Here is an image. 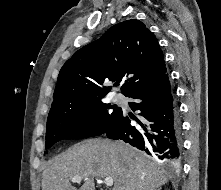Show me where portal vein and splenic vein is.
Returning <instances> with one entry per match:
<instances>
[{
    "label": "portal vein and splenic vein",
    "mask_w": 221,
    "mask_h": 190,
    "mask_svg": "<svg viewBox=\"0 0 221 190\" xmlns=\"http://www.w3.org/2000/svg\"><path fill=\"white\" fill-rule=\"evenodd\" d=\"M82 179L83 178L80 177V176H75V177H72L70 180L72 182H81ZM104 183H105L106 186H112L113 185V179L110 178V177H107V178L104 179Z\"/></svg>",
    "instance_id": "1"
}]
</instances>
